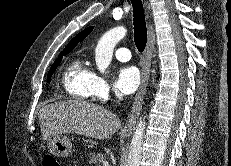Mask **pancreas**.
I'll use <instances>...</instances> for the list:
<instances>
[{"label":"pancreas","mask_w":231,"mask_h":166,"mask_svg":"<svg viewBox=\"0 0 231 166\" xmlns=\"http://www.w3.org/2000/svg\"><path fill=\"white\" fill-rule=\"evenodd\" d=\"M105 157L106 155L101 152H98V153L92 152L89 155L88 162L91 165H98L105 159Z\"/></svg>","instance_id":"cf45deb5"}]
</instances>
